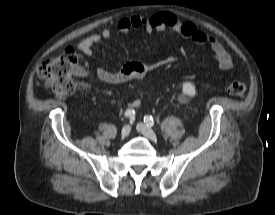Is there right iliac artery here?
<instances>
[{
	"label": "right iliac artery",
	"instance_id": "1",
	"mask_svg": "<svg viewBox=\"0 0 275 215\" xmlns=\"http://www.w3.org/2000/svg\"><path fill=\"white\" fill-rule=\"evenodd\" d=\"M134 114H135V111H134V110L128 109V110L125 112V117H126V118H130V121H132V119L134 118Z\"/></svg>",
	"mask_w": 275,
	"mask_h": 215
}]
</instances>
